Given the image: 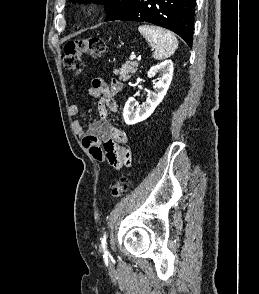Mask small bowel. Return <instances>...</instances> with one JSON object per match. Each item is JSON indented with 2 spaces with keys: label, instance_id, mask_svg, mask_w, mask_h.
Instances as JSON below:
<instances>
[{
  "label": "small bowel",
  "instance_id": "obj_1",
  "mask_svg": "<svg viewBox=\"0 0 259 294\" xmlns=\"http://www.w3.org/2000/svg\"><path fill=\"white\" fill-rule=\"evenodd\" d=\"M121 89L122 83L118 80H112L108 84L103 79H94L88 93L99 99V117L93 121L77 119L72 124L73 131L93 158L99 162H107L117 170L132 163V152L126 145L128 142L126 133L108 121L109 113L118 110L114 96ZM68 112L70 116L76 117L79 114V106L72 104Z\"/></svg>",
  "mask_w": 259,
  "mask_h": 294
}]
</instances>
